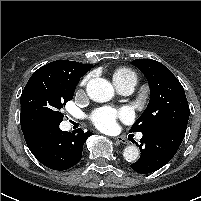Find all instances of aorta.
<instances>
[{
  "mask_svg": "<svg viewBox=\"0 0 201 201\" xmlns=\"http://www.w3.org/2000/svg\"><path fill=\"white\" fill-rule=\"evenodd\" d=\"M88 96L95 102H107L114 96L112 84L104 78H93L87 83ZM123 157L128 162H134L139 157V149L130 145L124 149Z\"/></svg>",
  "mask_w": 201,
  "mask_h": 201,
  "instance_id": "762f6f07",
  "label": "aorta"
}]
</instances>
